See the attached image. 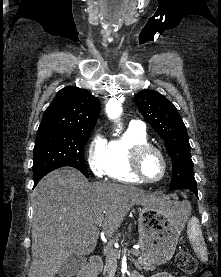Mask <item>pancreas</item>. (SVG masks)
<instances>
[{
	"instance_id": "obj_1",
	"label": "pancreas",
	"mask_w": 221,
	"mask_h": 277,
	"mask_svg": "<svg viewBox=\"0 0 221 277\" xmlns=\"http://www.w3.org/2000/svg\"><path fill=\"white\" fill-rule=\"evenodd\" d=\"M131 253L135 256H139L135 263L140 270L153 271L156 268L142 257L140 250H132ZM119 256L120 251L113 248H108L105 258V266L103 269V275L105 277H110L111 272L115 271L117 258H119Z\"/></svg>"
}]
</instances>
